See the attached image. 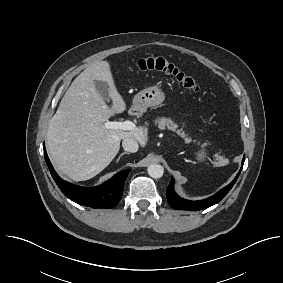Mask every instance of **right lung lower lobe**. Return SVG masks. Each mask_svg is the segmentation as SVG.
Returning a JSON list of instances; mask_svg holds the SVG:
<instances>
[{"label": "right lung lower lobe", "instance_id": "right-lung-lower-lobe-1", "mask_svg": "<svg viewBox=\"0 0 283 283\" xmlns=\"http://www.w3.org/2000/svg\"><path fill=\"white\" fill-rule=\"evenodd\" d=\"M44 156L50 173L60 190L72 201L92 208H113L120 201L123 187L130 170L117 173L104 184L84 188L62 180L55 172L44 147Z\"/></svg>", "mask_w": 283, "mask_h": 283}]
</instances>
